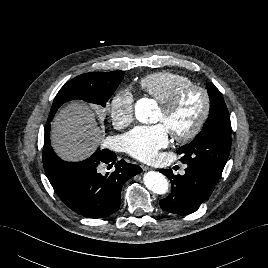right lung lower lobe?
Instances as JSON below:
<instances>
[{
  "label": "right lung lower lobe",
  "mask_w": 268,
  "mask_h": 268,
  "mask_svg": "<svg viewBox=\"0 0 268 268\" xmlns=\"http://www.w3.org/2000/svg\"><path fill=\"white\" fill-rule=\"evenodd\" d=\"M115 160V153L102 150L84 161L68 163L67 184L57 195L71 210L84 217L111 215L120 206L123 184L142 171L138 165L124 160L116 163ZM101 163L115 164V171L102 175L99 172Z\"/></svg>",
  "instance_id": "obj_1"
}]
</instances>
